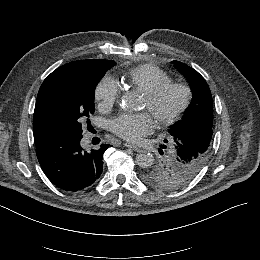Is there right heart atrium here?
Returning <instances> with one entry per match:
<instances>
[{
  "label": "right heart atrium",
  "mask_w": 260,
  "mask_h": 260,
  "mask_svg": "<svg viewBox=\"0 0 260 260\" xmlns=\"http://www.w3.org/2000/svg\"><path fill=\"white\" fill-rule=\"evenodd\" d=\"M120 95V86L116 80L109 76L102 78L95 87L94 98L105 110L116 103Z\"/></svg>",
  "instance_id": "1"
}]
</instances>
